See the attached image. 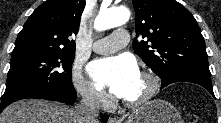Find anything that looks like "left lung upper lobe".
Wrapping results in <instances>:
<instances>
[{"label": "left lung upper lobe", "instance_id": "left-lung-upper-lobe-1", "mask_svg": "<svg viewBox=\"0 0 221 123\" xmlns=\"http://www.w3.org/2000/svg\"><path fill=\"white\" fill-rule=\"evenodd\" d=\"M137 55L162 79L197 71L210 74L204 38L193 15L175 0H133Z\"/></svg>", "mask_w": 221, "mask_h": 123}]
</instances>
